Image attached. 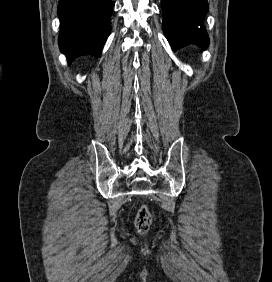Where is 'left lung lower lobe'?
Listing matches in <instances>:
<instances>
[{
    "label": "left lung lower lobe",
    "mask_w": 272,
    "mask_h": 282,
    "mask_svg": "<svg viewBox=\"0 0 272 282\" xmlns=\"http://www.w3.org/2000/svg\"><path fill=\"white\" fill-rule=\"evenodd\" d=\"M208 9L207 0H162L163 31L173 50L188 43L206 49L209 39L203 20Z\"/></svg>",
    "instance_id": "obj_1"
}]
</instances>
